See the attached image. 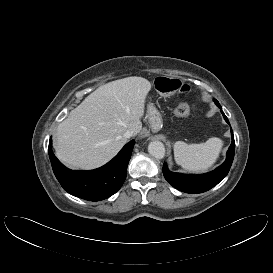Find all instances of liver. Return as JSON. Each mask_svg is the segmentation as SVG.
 I'll list each match as a JSON object with an SVG mask.
<instances>
[{
	"mask_svg": "<svg viewBox=\"0 0 273 273\" xmlns=\"http://www.w3.org/2000/svg\"><path fill=\"white\" fill-rule=\"evenodd\" d=\"M151 83L127 77L104 84L92 92L56 131L55 153L63 163L94 169L111 160L126 144L124 133L142 129L146 97Z\"/></svg>",
	"mask_w": 273,
	"mask_h": 273,
	"instance_id": "obj_1",
	"label": "liver"
}]
</instances>
